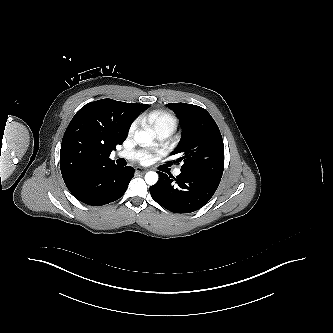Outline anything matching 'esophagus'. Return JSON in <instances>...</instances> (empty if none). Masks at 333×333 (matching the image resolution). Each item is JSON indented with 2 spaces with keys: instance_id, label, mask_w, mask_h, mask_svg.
Instances as JSON below:
<instances>
[{
  "instance_id": "esophagus-1",
  "label": "esophagus",
  "mask_w": 333,
  "mask_h": 333,
  "mask_svg": "<svg viewBox=\"0 0 333 333\" xmlns=\"http://www.w3.org/2000/svg\"><path fill=\"white\" fill-rule=\"evenodd\" d=\"M135 171H136L137 173H139V174H144V173L147 172L146 169H142V168H136Z\"/></svg>"
}]
</instances>
